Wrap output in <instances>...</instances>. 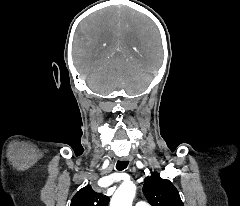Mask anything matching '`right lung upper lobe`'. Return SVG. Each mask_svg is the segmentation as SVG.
<instances>
[{
	"label": "right lung upper lobe",
	"mask_w": 240,
	"mask_h": 206,
	"mask_svg": "<svg viewBox=\"0 0 240 206\" xmlns=\"http://www.w3.org/2000/svg\"><path fill=\"white\" fill-rule=\"evenodd\" d=\"M108 203V196L95 192L88 185L75 194L70 206H108Z\"/></svg>",
	"instance_id": "cb5924a9"
}]
</instances>
